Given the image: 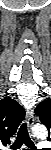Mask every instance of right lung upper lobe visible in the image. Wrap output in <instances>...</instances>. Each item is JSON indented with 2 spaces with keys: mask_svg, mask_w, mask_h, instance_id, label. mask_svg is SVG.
<instances>
[{
  "mask_svg": "<svg viewBox=\"0 0 51 150\" xmlns=\"http://www.w3.org/2000/svg\"><path fill=\"white\" fill-rule=\"evenodd\" d=\"M24 116L23 107L14 99L0 100V142L10 143L9 138L15 134Z\"/></svg>",
  "mask_w": 51,
  "mask_h": 150,
  "instance_id": "cb5924a9",
  "label": "right lung upper lobe"
}]
</instances>
